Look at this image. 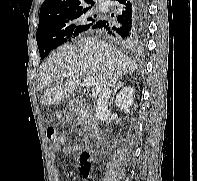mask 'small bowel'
I'll use <instances>...</instances> for the list:
<instances>
[{"instance_id":"1","label":"small bowel","mask_w":197,"mask_h":181,"mask_svg":"<svg viewBox=\"0 0 197 181\" xmlns=\"http://www.w3.org/2000/svg\"><path fill=\"white\" fill-rule=\"evenodd\" d=\"M78 149H79V146H65L63 148V153L66 154V155L72 154V153L76 152ZM58 150H55V151H58ZM55 157H56L55 153H52L51 154V159L54 160ZM55 175L57 177L59 176V170L58 169L55 170Z\"/></svg>"}]
</instances>
